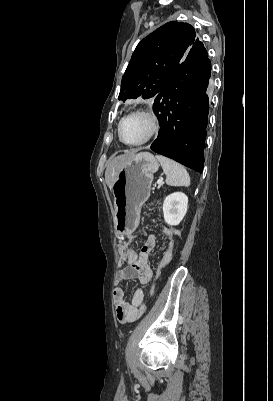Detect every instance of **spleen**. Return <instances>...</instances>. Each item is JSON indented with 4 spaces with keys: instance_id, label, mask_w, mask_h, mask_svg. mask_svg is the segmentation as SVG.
Masks as SVG:
<instances>
[{
    "instance_id": "3e777b00",
    "label": "spleen",
    "mask_w": 273,
    "mask_h": 401,
    "mask_svg": "<svg viewBox=\"0 0 273 401\" xmlns=\"http://www.w3.org/2000/svg\"><path fill=\"white\" fill-rule=\"evenodd\" d=\"M155 158L161 162V166L166 174L167 184H171V186H189L190 176L182 164L171 160V158H166L162 154H156Z\"/></svg>"
}]
</instances>
